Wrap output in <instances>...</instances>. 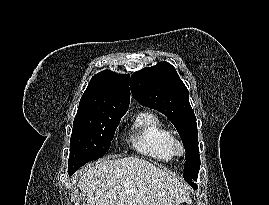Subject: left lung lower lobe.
<instances>
[{
    "mask_svg": "<svg viewBox=\"0 0 269 205\" xmlns=\"http://www.w3.org/2000/svg\"><path fill=\"white\" fill-rule=\"evenodd\" d=\"M194 189H197V186H193Z\"/></svg>",
    "mask_w": 269,
    "mask_h": 205,
    "instance_id": "0a47b994",
    "label": "left lung lower lobe"
}]
</instances>
